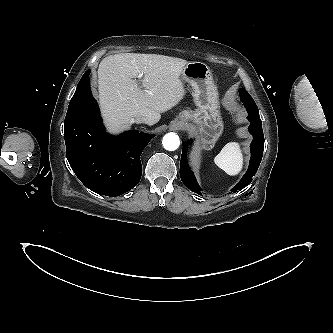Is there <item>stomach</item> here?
Returning a JSON list of instances; mask_svg holds the SVG:
<instances>
[{
	"label": "stomach",
	"instance_id": "obj_1",
	"mask_svg": "<svg viewBox=\"0 0 333 333\" xmlns=\"http://www.w3.org/2000/svg\"><path fill=\"white\" fill-rule=\"evenodd\" d=\"M182 79L193 89L195 111H182L177 120L198 130L201 145L210 150L223 132L219 94L210 68L202 62H188L181 73Z\"/></svg>",
	"mask_w": 333,
	"mask_h": 333
}]
</instances>
